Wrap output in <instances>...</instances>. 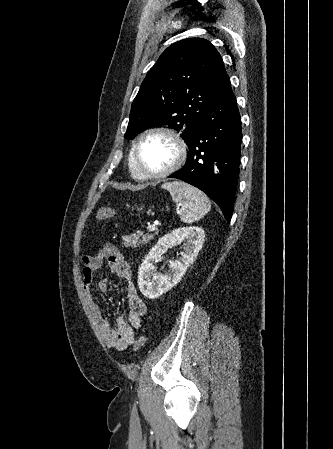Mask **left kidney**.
<instances>
[{
  "mask_svg": "<svg viewBox=\"0 0 333 449\" xmlns=\"http://www.w3.org/2000/svg\"><path fill=\"white\" fill-rule=\"evenodd\" d=\"M204 238L205 232L198 226L178 228L160 238L145 256L139 268L138 286L141 293L153 299L175 286L202 249ZM181 243L184 252H181L179 260L170 262V274L163 275L155 272L153 263L161 260L169 248Z\"/></svg>",
  "mask_w": 333,
  "mask_h": 449,
  "instance_id": "1",
  "label": "left kidney"
}]
</instances>
